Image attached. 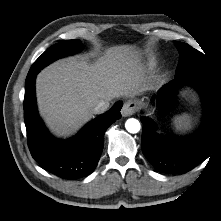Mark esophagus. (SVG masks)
Wrapping results in <instances>:
<instances>
[{
  "label": "esophagus",
  "instance_id": "esophagus-1",
  "mask_svg": "<svg viewBox=\"0 0 221 221\" xmlns=\"http://www.w3.org/2000/svg\"><path fill=\"white\" fill-rule=\"evenodd\" d=\"M138 109L137 103L134 100H127L121 110L123 116H131Z\"/></svg>",
  "mask_w": 221,
  "mask_h": 221
}]
</instances>
